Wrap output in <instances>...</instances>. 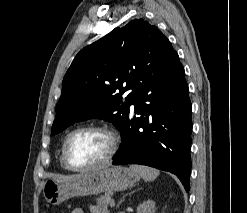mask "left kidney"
Wrapping results in <instances>:
<instances>
[{"label":"left kidney","instance_id":"5707ae66","mask_svg":"<svg viewBox=\"0 0 247 213\" xmlns=\"http://www.w3.org/2000/svg\"><path fill=\"white\" fill-rule=\"evenodd\" d=\"M155 202L147 200L137 207V213H155Z\"/></svg>","mask_w":247,"mask_h":213}]
</instances>
